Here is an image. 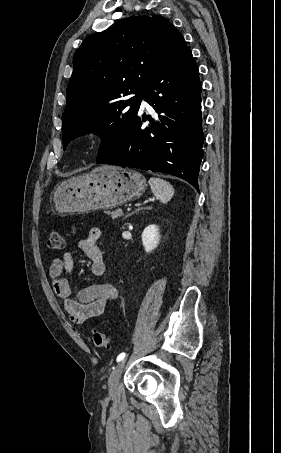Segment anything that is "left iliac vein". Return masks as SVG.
<instances>
[{"label": "left iliac vein", "instance_id": "left-iliac-vein-1", "mask_svg": "<svg viewBox=\"0 0 281 453\" xmlns=\"http://www.w3.org/2000/svg\"><path fill=\"white\" fill-rule=\"evenodd\" d=\"M127 359L125 358L124 360H121L117 366L113 369V371H111L110 373V376H109V379H108V390L109 392L112 394V393H116L117 390H118V387H119V379H120V376L123 372H124V364L126 363Z\"/></svg>", "mask_w": 281, "mask_h": 453}]
</instances>
